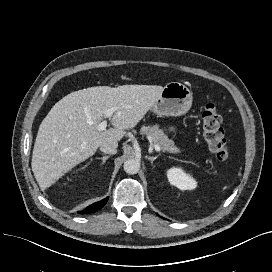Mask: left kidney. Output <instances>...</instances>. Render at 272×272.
Listing matches in <instances>:
<instances>
[{
    "label": "left kidney",
    "instance_id": "1",
    "mask_svg": "<svg viewBox=\"0 0 272 272\" xmlns=\"http://www.w3.org/2000/svg\"><path fill=\"white\" fill-rule=\"evenodd\" d=\"M167 177L171 185L181 190H193L197 187V182L183 169L173 167L167 171Z\"/></svg>",
    "mask_w": 272,
    "mask_h": 272
}]
</instances>
